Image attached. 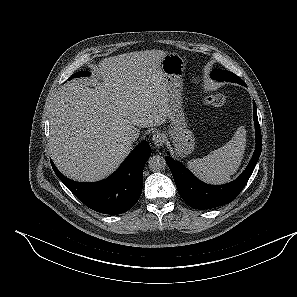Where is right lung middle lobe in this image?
Listing matches in <instances>:
<instances>
[{"label": "right lung middle lobe", "instance_id": "right-lung-middle-lobe-1", "mask_svg": "<svg viewBox=\"0 0 297 297\" xmlns=\"http://www.w3.org/2000/svg\"><path fill=\"white\" fill-rule=\"evenodd\" d=\"M88 74H89L88 72L81 71V72H77V73L73 74L72 78L86 77V76H88Z\"/></svg>", "mask_w": 297, "mask_h": 297}]
</instances>
